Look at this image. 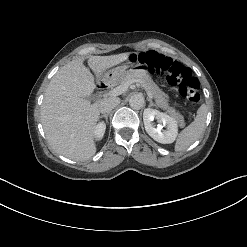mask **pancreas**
<instances>
[{"mask_svg": "<svg viewBox=\"0 0 247 247\" xmlns=\"http://www.w3.org/2000/svg\"><path fill=\"white\" fill-rule=\"evenodd\" d=\"M128 81H134L140 83L142 87H145L155 99L156 105L173 116L181 127L185 126L184 117L176 111L175 108L170 107L168 103V95L165 94L147 74L129 73L123 77L120 84H124Z\"/></svg>", "mask_w": 247, "mask_h": 247, "instance_id": "obj_1", "label": "pancreas"}]
</instances>
